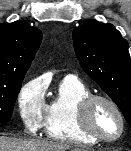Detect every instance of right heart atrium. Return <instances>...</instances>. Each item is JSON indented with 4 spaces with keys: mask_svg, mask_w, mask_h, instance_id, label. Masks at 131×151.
<instances>
[{
    "mask_svg": "<svg viewBox=\"0 0 131 151\" xmlns=\"http://www.w3.org/2000/svg\"><path fill=\"white\" fill-rule=\"evenodd\" d=\"M45 86L40 79L27 81L20 89L17 107L24 126L30 132H37L42 124L46 104L44 100Z\"/></svg>",
    "mask_w": 131,
    "mask_h": 151,
    "instance_id": "d8ad5b80",
    "label": "right heart atrium"
}]
</instances>
